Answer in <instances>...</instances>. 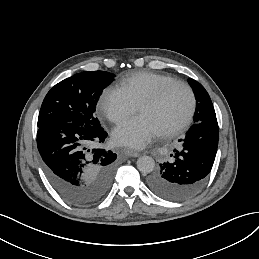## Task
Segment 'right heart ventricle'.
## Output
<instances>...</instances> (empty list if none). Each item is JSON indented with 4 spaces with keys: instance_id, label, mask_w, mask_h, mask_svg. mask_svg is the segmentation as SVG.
<instances>
[{
    "instance_id": "right-heart-ventricle-1",
    "label": "right heart ventricle",
    "mask_w": 259,
    "mask_h": 259,
    "mask_svg": "<svg viewBox=\"0 0 259 259\" xmlns=\"http://www.w3.org/2000/svg\"><path fill=\"white\" fill-rule=\"evenodd\" d=\"M171 80L174 78L167 74L138 72L123 77L116 88L139 105L154 95L162 84Z\"/></svg>"
}]
</instances>
